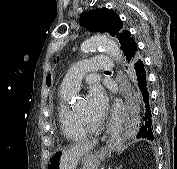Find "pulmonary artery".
<instances>
[{"instance_id": "1", "label": "pulmonary artery", "mask_w": 177, "mask_h": 169, "mask_svg": "<svg viewBox=\"0 0 177 169\" xmlns=\"http://www.w3.org/2000/svg\"><path fill=\"white\" fill-rule=\"evenodd\" d=\"M113 61L107 56L91 57L75 63L63 78L61 89L77 91L86 72H100L110 68Z\"/></svg>"}]
</instances>
